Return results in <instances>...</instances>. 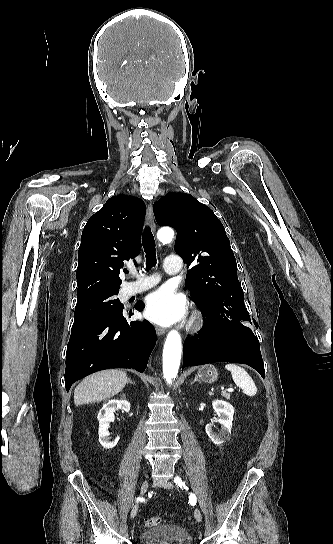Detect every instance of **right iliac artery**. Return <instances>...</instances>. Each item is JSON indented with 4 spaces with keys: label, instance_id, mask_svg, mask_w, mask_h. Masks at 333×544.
Listing matches in <instances>:
<instances>
[{
    "label": "right iliac artery",
    "instance_id": "82829eb1",
    "mask_svg": "<svg viewBox=\"0 0 333 544\" xmlns=\"http://www.w3.org/2000/svg\"><path fill=\"white\" fill-rule=\"evenodd\" d=\"M136 500H137V501H143L144 499H143V498H140V497H138V498H137Z\"/></svg>",
    "mask_w": 333,
    "mask_h": 544
}]
</instances>
